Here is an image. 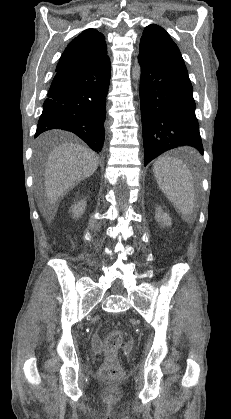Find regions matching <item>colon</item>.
<instances>
[{
  "label": "colon",
  "instance_id": "1",
  "mask_svg": "<svg viewBox=\"0 0 231 419\" xmlns=\"http://www.w3.org/2000/svg\"><path fill=\"white\" fill-rule=\"evenodd\" d=\"M123 342V334L120 330H112L105 339L106 358L103 362L99 374L104 379H113L121 372L118 361V351Z\"/></svg>",
  "mask_w": 231,
  "mask_h": 419
}]
</instances>
